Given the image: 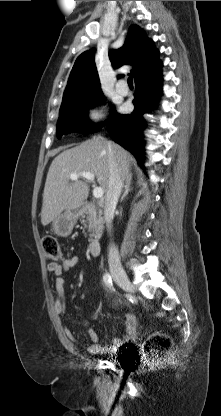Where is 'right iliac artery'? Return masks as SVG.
I'll use <instances>...</instances> for the list:
<instances>
[{"mask_svg":"<svg viewBox=\"0 0 221 416\" xmlns=\"http://www.w3.org/2000/svg\"><path fill=\"white\" fill-rule=\"evenodd\" d=\"M103 281L105 283V285L110 289V290H114L113 288V284H112V278L111 275L109 273H105L103 276Z\"/></svg>","mask_w":221,"mask_h":416,"instance_id":"1","label":"right iliac artery"}]
</instances>
